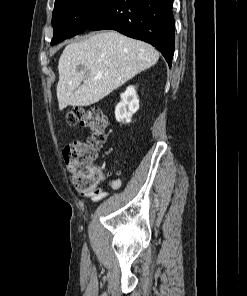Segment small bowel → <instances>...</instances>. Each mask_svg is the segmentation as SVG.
Here are the masks:
<instances>
[{"mask_svg": "<svg viewBox=\"0 0 247 296\" xmlns=\"http://www.w3.org/2000/svg\"><path fill=\"white\" fill-rule=\"evenodd\" d=\"M108 185L112 189L117 190L121 187L122 183L120 179H112ZM83 196L90 199L91 202L96 203L107 197L108 192L106 190L87 191Z\"/></svg>", "mask_w": 247, "mask_h": 296, "instance_id": "obj_1", "label": "small bowel"}]
</instances>
